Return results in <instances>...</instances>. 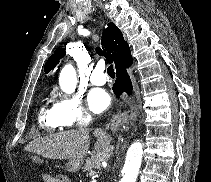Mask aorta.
I'll use <instances>...</instances> for the list:
<instances>
[{
	"label": "aorta",
	"instance_id": "aorta-1",
	"mask_svg": "<svg viewBox=\"0 0 211 182\" xmlns=\"http://www.w3.org/2000/svg\"><path fill=\"white\" fill-rule=\"evenodd\" d=\"M77 84L76 71L72 65H66L59 76V85L63 92L72 94ZM143 154V145L141 142H134L128 149L125 165L124 176L120 182H136L139 169L141 166Z\"/></svg>",
	"mask_w": 211,
	"mask_h": 182
}]
</instances>
